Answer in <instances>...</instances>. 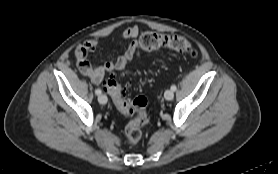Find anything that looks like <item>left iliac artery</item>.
<instances>
[{
	"label": "left iliac artery",
	"mask_w": 278,
	"mask_h": 174,
	"mask_svg": "<svg viewBox=\"0 0 278 174\" xmlns=\"http://www.w3.org/2000/svg\"><path fill=\"white\" fill-rule=\"evenodd\" d=\"M176 89H177V88H176L175 85H172V86H171V90H172V91H176Z\"/></svg>",
	"instance_id": "obj_1"
}]
</instances>
